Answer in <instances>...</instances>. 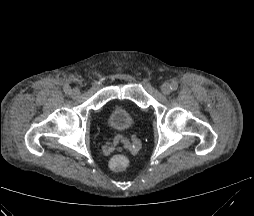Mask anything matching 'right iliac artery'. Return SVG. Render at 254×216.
Here are the masks:
<instances>
[{
  "mask_svg": "<svg viewBox=\"0 0 254 216\" xmlns=\"http://www.w3.org/2000/svg\"><path fill=\"white\" fill-rule=\"evenodd\" d=\"M64 92H65L66 94H70V93H71V88H70L69 86H66V87L64 88Z\"/></svg>",
  "mask_w": 254,
  "mask_h": 216,
  "instance_id": "right-iliac-artery-1",
  "label": "right iliac artery"
}]
</instances>
